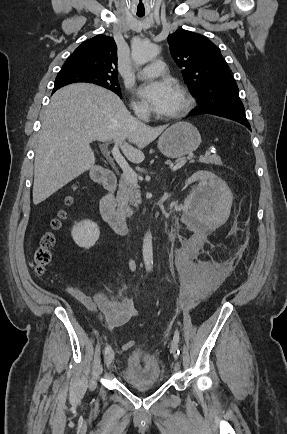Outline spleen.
I'll list each match as a JSON object with an SVG mask.
<instances>
[{
	"label": "spleen",
	"instance_id": "spleen-1",
	"mask_svg": "<svg viewBox=\"0 0 287 434\" xmlns=\"http://www.w3.org/2000/svg\"><path fill=\"white\" fill-rule=\"evenodd\" d=\"M212 222H213L214 224H217V223H218L216 220H213Z\"/></svg>",
	"mask_w": 287,
	"mask_h": 434
}]
</instances>
